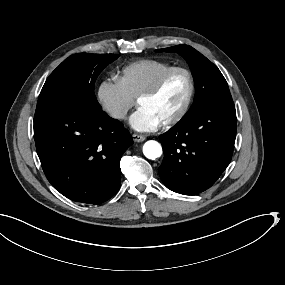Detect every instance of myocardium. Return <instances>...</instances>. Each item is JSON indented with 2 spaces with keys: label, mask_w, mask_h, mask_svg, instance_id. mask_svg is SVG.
<instances>
[{
  "label": "myocardium",
  "mask_w": 285,
  "mask_h": 285,
  "mask_svg": "<svg viewBox=\"0 0 285 285\" xmlns=\"http://www.w3.org/2000/svg\"><path fill=\"white\" fill-rule=\"evenodd\" d=\"M176 75H182L185 78L186 84H187V90H186L183 103L180 106V108L172 115H169L160 121V124L164 126L172 125L180 121L190 108L192 94H193V82H192L191 75L188 71L182 68H175V69L168 71L155 83L154 86H152L149 90L144 92L138 98V102H137L138 105H140L147 99L159 93L165 87V85Z\"/></svg>",
  "instance_id": "obj_1"
}]
</instances>
